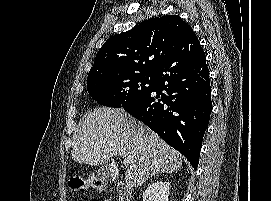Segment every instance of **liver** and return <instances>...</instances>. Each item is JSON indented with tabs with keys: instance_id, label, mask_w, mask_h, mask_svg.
Segmentation results:
<instances>
[{
	"instance_id": "liver-1",
	"label": "liver",
	"mask_w": 271,
	"mask_h": 201,
	"mask_svg": "<svg viewBox=\"0 0 271 201\" xmlns=\"http://www.w3.org/2000/svg\"><path fill=\"white\" fill-rule=\"evenodd\" d=\"M117 155L130 159L124 177L129 189L156 173L172 174L182 166V156L176 150L123 109L99 107L86 113L72 159L98 166Z\"/></svg>"
}]
</instances>
